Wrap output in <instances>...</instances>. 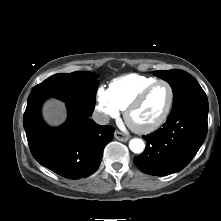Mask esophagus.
Instances as JSON below:
<instances>
[{"instance_id":"esophagus-1","label":"esophagus","mask_w":221,"mask_h":221,"mask_svg":"<svg viewBox=\"0 0 221 221\" xmlns=\"http://www.w3.org/2000/svg\"><path fill=\"white\" fill-rule=\"evenodd\" d=\"M114 137L121 142H126L129 140V136L120 131H115Z\"/></svg>"}]
</instances>
